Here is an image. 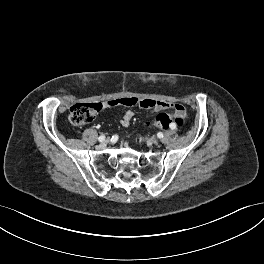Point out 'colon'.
<instances>
[{"mask_svg":"<svg viewBox=\"0 0 264 264\" xmlns=\"http://www.w3.org/2000/svg\"><path fill=\"white\" fill-rule=\"evenodd\" d=\"M133 100L129 97L116 98L108 101L110 106L124 105L131 106ZM103 107L102 103H76L71 106L69 112V121L74 126H82L90 123L97 112ZM185 111L180 107L173 115L162 112L159 113L154 121L148 122V127L158 129H168L171 123L176 124L177 127H182L184 124Z\"/></svg>","mask_w":264,"mask_h":264,"instance_id":"obj_1","label":"colon"}]
</instances>
